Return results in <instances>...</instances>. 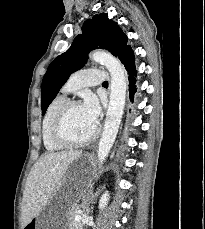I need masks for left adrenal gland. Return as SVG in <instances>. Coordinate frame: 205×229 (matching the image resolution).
Returning <instances> with one entry per match:
<instances>
[{
	"label": "left adrenal gland",
	"instance_id": "obj_1",
	"mask_svg": "<svg viewBox=\"0 0 205 229\" xmlns=\"http://www.w3.org/2000/svg\"><path fill=\"white\" fill-rule=\"evenodd\" d=\"M100 190H98L95 194L91 193V196H88L86 200L83 201L82 207L85 213H89L90 212V208L89 205L92 202V200L98 195Z\"/></svg>",
	"mask_w": 205,
	"mask_h": 229
}]
</instances>
